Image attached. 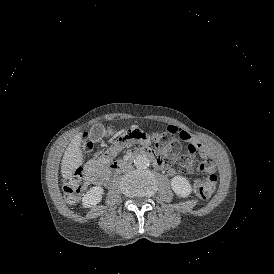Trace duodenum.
<instances>
[{"mask_svg": "<svg viewBox=\"0 0 274 274\" xmlns=\"http://www.w3.org/2000/svg\"><path fill=\"white\" fill-rule=\"evenodd\" d=\"M138 156L148 157L149 159H151L154 166L158 169H162L164 167L161 158L159 157V155L156 152H154L150 148H142V149H139V150L129 154L128 156L124 157L123 159H119V160L112 162L109 166V171L110 172L118 171L121 167L132 162Z\"/></svg>", "mask_w": 274, "mask_h": 274, "instance_id": "obj_1", "label": "duodenum"}]
</instances>
